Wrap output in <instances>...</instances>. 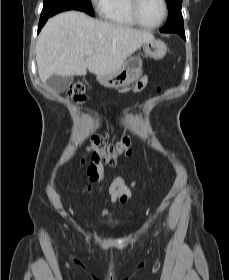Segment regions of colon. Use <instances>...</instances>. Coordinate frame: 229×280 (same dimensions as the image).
Returning <instances> with one entry per match:
<instances>
[{
	"mask_svg": "<svg viewBox=\"0 0 229 280\" xmlns=\"http://www.w3.org/2000/svg\"><path fill=\"white\" fill-rule=\"evenodd\" d=\"M68 96L74 104H81L86 99V89L83 83L76 82L72 84L68 91ZM132 139L130 136H124L114 144H105L98 137H93L87 148V154L90 158L88 165V174L92 182L99 178L96 166L102 162L114 165L120 156H131L133 153Z\"/></svg>",
	"mask_w": 229,
	"mask_h": 280,
	"instance_id": "colon-1",
	"label": "colon"
}]
</instances>
